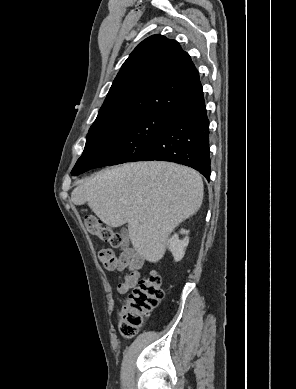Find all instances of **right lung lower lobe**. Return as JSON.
Masks as SVG:
<instances>
[{"instance_id": "obj_1", "label": "right lung lower lobe", "mask_w": 296, "mask_h": 389, "mask_svg": "<svg viewBox=\"0 0 296 389\" xmlns=\"http://www.w3.org/2000/svg\"><path fill=\"white\" fill-rule=\"evenodd\" d=\"M205 104L175 117L168 128L140 157L139 161H170L192 167L210 180L209 120ZM93 167L82 165L71 174Z\"/></svg>"}]
</instances>
